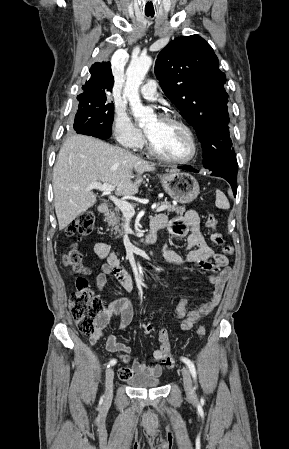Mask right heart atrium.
<instances>
[{
	"label": "right heart atrium",
	"mask_w": 289,
	"mask_h": 449,
	"mask_svg": "<svg viewBox=\"0 0 289 449\" xmlns=\"http://www.w3.org/2000/svg\"><path fill=\"white\" fill-rule=\"evenodd\" d=\"M115 139L119 145L128 149H140L144 144V137L127 113L121 109L115 111L113 121Z\"/></svg>",
	"instance_id": "obj_1"
}]
</instances>
